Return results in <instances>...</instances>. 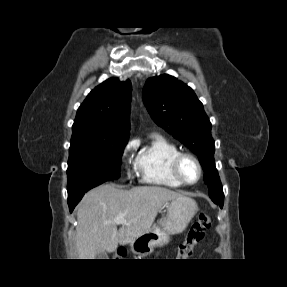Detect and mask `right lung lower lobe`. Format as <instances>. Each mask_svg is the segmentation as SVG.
I'll list each match as a JSON object with an SVG mask.
<instances>
[{
  "mask_svg": "<svg viewBox=\"0 0 287 287\" xmlns=\"http://www.w3.org/2000/svg\"><path fill=\"white\" fill-rule=\"evenodd\" d=\"M103 182H93L82 186L81 188L68 194V205L70 212L73 211L77 203L82 199L83 195L90 189L102 184Z\"/></svg>",
  "mask_w": 287,
  "mask_h": 287,
  "instance_id": "obj_1",
  "label": "right lung lower lobe"
}]
</instances>
